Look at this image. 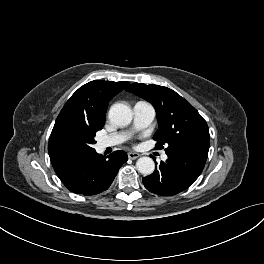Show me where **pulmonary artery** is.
<instances>
[{"instance_id":"e3ab8cb5","label":"pulmonary artery","mask_w":264,"mask_h":264,"mask_svg":"<svg viewBox=\"0 0 264 264\" xmlns=\"http://www.w3.org/2000/svg\"><path fill=\"white\" fill-rule=\"evenodd\" d=\"M155 108L148 102L138 101L133 106V115H134V128L136 130L144 129L151 124L155 118ZM128 135L126 133H116L108 137L102 138L98 141V147L100 149H105L107 147L115 146L121 144L127 139ZM162 160L167 159L166 154H162Z\"/></svg>"}]
</instances>
